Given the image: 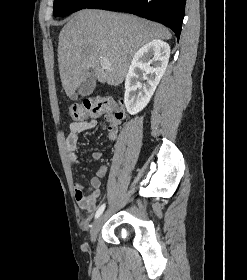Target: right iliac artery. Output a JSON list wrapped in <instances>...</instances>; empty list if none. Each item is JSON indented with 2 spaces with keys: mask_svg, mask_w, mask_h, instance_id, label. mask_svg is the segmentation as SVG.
Segmentation results:
<instances>
[{
  "mask_svg": "<svg viewBox=\"0 0 247 280\" xmlns=\"http://www.w3.org/2000/svg\"><path fill=\"white\" fill-rule=\"evenodd\" d=\"M104 209H105V204H102L96 211L95 218H98L103 213Z\"/></svg>",
  "mask_w": 247,
  "mask_h": 280,
  "instance_id": "82829eb1",
  "label": "right iliac artery"
}]
</instances>
